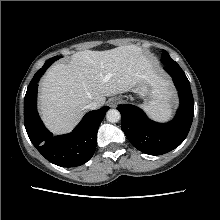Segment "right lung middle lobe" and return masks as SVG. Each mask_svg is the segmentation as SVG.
Wrapping results in <instances>:
<instances>
[{"instance_id":"1","label":"right lung middle lobe","mask_w":220,"mask_h":220,"mask_svg":"<svg viewBox=\"0 0 220 220\" xmlns=\"http://www.w3.org/2000/svg\"><path fill=\"white\" fill-rule=\"evenodd\" d=\"M54 58H56V60H57V59H59V58H61V57H60V56H55Z\"/></svg>"}]
</instances>
